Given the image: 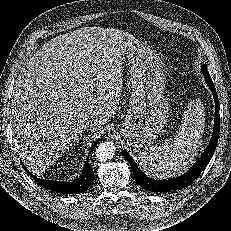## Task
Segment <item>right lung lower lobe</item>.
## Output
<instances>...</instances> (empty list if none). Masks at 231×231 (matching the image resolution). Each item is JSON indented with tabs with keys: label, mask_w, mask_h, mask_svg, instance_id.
I'll list each match as a JSON object with an SVG mask.
<instances>
[{
	"label": "right lung lower lobe",
	"mask_w": 231,
	"mask_h": 231,
	"mask_svg": "<svg viewBox=\"0 0 231 231\" xmlns=\"http://www.w3.org/2000/svg\"><path fill=\"white\" fill-rule=\"evenodd\" d=\"M99 140H97L92 147L90 148V151H92L96 145L98 144ZM23 165V163L21 162ZM26 172L41 186L48 190L56 191V192H62L67 194H79L87 190L93 183L94 180V172L91 168V166L88 164V158L85 162L84 170L82 171V176L73 181V182H58V181H52V180H45L40 179L34 176L32 173H30L26 167L23 165Z\"/></svg>",
	"instance_id": "1"
}]
</instances>
